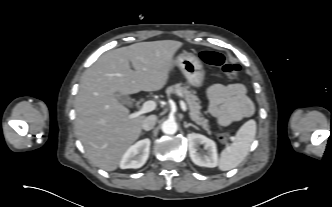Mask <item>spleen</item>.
Segmentation results:
<instances>
[{
	"instance_id": "spleen-1",
	"label": "spleen",
	"mask_w": 332,
	"mask_h": 207,
	"mask_svg": "<svg viewBox=\"0 0 332 207\" xmlns=\"http://www.w3.org/2000/svg\"><path fill=\"white\" fill-rule=\"evenodd\" d=\"M256 135V122L249 120L237 131L236 139L220 155L219 169L228 171L238 166L247 156Z\"/></svg>"
}]
</instances>
